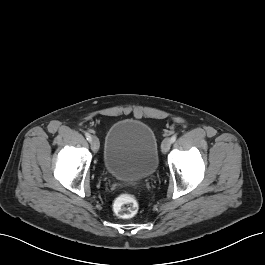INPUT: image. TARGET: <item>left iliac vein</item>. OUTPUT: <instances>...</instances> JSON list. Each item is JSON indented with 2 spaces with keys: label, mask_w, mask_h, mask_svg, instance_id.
<instances>
[{
  "label": "left iliac vein",
  "mask_w": 265,
  "mask_h": 265,
  "mask_svg": "<svg viewBox=\"0 0 265 265\" xmlns=\"http://www.w3.org/2000/svg\"><path fill=\"white\" fill-rule=\"evenodd\" d=\"M171 146V140L169 138H165L161 145V151L162 153H167Z\"/></svg>",
  "instance_id": "left-iliac-vein-1"
}]
</instances>
